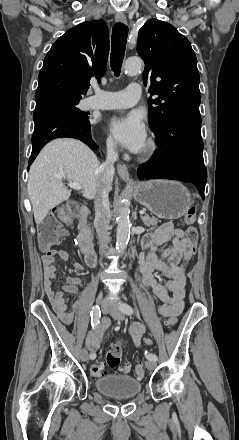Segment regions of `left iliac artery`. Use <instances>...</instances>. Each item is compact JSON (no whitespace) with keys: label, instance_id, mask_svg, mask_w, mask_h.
<instances>
[{"label":"left iliac artery","instance_id":"obj_1","mask_svg":"<svg viewBox=\"0 0 239 440\" xmlns=\"http://www.w3.org/2000/svg\"><path fill=\"white\" fill-rule=\"evenodd\" d=\"M119 308L124 314H127V315H131L134 313L133 308L126 303H120ZM145 356L148 360H155L156 361L158 359L157 356L153 353L145 352Z\"/></svg>","mask_w":239,"mask_h":440}]
</instances>
